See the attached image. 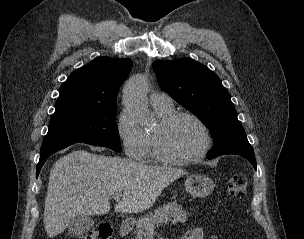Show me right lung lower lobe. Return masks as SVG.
<instances>
[{
    "label": "right lung lower lobe",
    "instance_id": "obj_1",
    "mask_svg": "<svg viewBox=\"0 0 304 239\" xmlns=\"http://www.w3.org/2000/svg\"><path fill=\"white\" fill-rule=\"evenodd\" d=\"M72 144H74V143L56 144V145H48V146L41 147L40 159H39V163L37 164V172H36L37 176L39 175V172H40L43 164L49 158V156H51L53 153L65 148L69 145H72Z\"/></svg>",
    "mask_w": 304,
    "mask_h": 239
}]
</instances>
